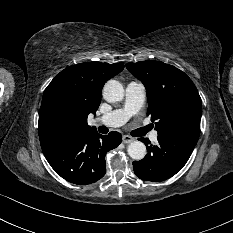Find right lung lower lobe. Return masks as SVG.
<instances>
[{
  "label": "right lung lower lobe",
  "instance_id": "obj_1",
  "mask_svg": "<svg viewBox=\"0 0 233 233\" xmlns=\"http://www.w3.org/2000/svg\"><path fill=\"white\" fill-rule=\"evenodd\" d=\"M121 141L118 132L104 136L90 129L40 142L47 161L56 173L69 182L86 185L105 175V155Z\"/></svg>",
  "mask_w": 233,
  "mask_h": 233
}]
</instances>
